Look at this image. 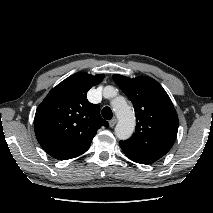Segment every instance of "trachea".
I'll list each match as a JSON object with an SVG mask.
<instances>
[{
    "label": "trachea",
    "instance_id": "3493384b",
    "mask_svg": "<svg viewBox=\"0 0 213 213\" xmlns=\"http://www.w3.org/2000/svg\"><path fill=\"white\" fill-rule=\"evenodd\" d=\"M102 116L106 120H110L113 117V113L110 107H104L102 109Z\"/></svg>",
    "mask_w": 213,
    "mask_h": 213
}]
</instances>
